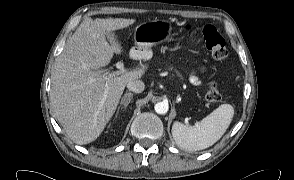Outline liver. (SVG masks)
I'll list each match as a JSON object with an SVG mask.
<instances>
[{
    "label": "liver",
    "mask_w": 294,
    "mask_h": 180,
    "mask_svg": "<svg viewBox=\"0 0 294 180\" xmlns=\"http://www.w3.org/2000/svg\"><path fill=\"white\" fill-rule=\"evenodd\" d=\"M134 22L125 18H86L55 60L50 101L57 120L76 144H88L100 136L127 83L144 73V69L136 68L105 78L110 72L103 69L114 53L122 52L113 32Z\"/></svg>",
    "instance_id": "obj_1"
}]
</instances>
